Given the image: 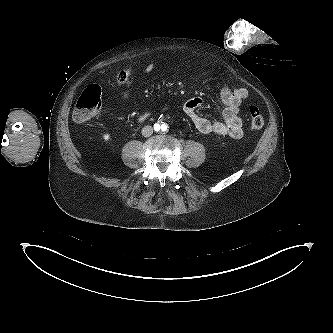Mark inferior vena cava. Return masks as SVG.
Masks as SVG:
<instances>
[{
    "label": "inferior vena cava",
    "instance_id": "inferior-vena-cava-1",
    "mask_svg": "<svg viewBox=\"0 0 333 333\" xmlns=\"http://www.w3.org/2000/svg\"><path fill=\"white\" fill-rule=\"evenodd\" d=\"M141 132L144 137H149L153 134V128L152 126L147 125L142 128Z\"/></svg>",
    "mask_w": 333,
    "mask_h": 333
}]
</instances>
